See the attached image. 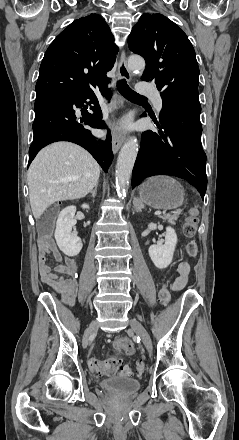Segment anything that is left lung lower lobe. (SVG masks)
<instances>
[{"mask_svg": "<svg viewBox=\"0 0 239 440\" xmlns=\"http://www.w3.org/2000/svg\"><path fill=\"white\" fill-rule=\"evenodd\" d=\"M159 130L143 132L133 168L132 186L145 177L173 175L194 183L204 199L206 154L201 145V105L197 94L177 92L162 97ZM146 116V113L141 115Z\"/></svg>", "mask_w": 239, "mask_h": 440, "instance_id": "left-lung-lower-lobe-1", "label": "left lung lower lobe"}]
</instances>
